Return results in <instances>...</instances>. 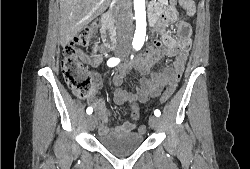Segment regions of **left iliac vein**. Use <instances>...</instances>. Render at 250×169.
<instances>
[{
  "label": "left iliac vein",
  "mask_w": 250,
  "mask_h": 169,
  "mask_svg": "<svg viewBox=\"0 0 250 169\" xmlns=\"http://www.w3.org/2000/svg\"><path fill=\"white\" fill-rule=\"evenodd\" d=\"M149 125L152 129H161L160 119L157 116H151L149 118Z\"/></svg>",
  "instance_id": "obj_1"
}]
</instances>
